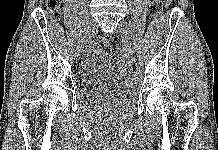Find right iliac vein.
Masks as SVG:
<instances>
[{
  "mask_svg": "<svg viewBox=\"0 0 218 150\" xmlns=\"http://www.w3.org/2000/svg\"><path fill=\"white\" fill-rule=\"evenodd\" d=\"M95 30H96V22L94 20H91L86 26L85 37L82 38V42H81L82 46L86 45L87 38H91L94 35Z\"/></svg>",
  "mask_w": 218,
  "mask_h": 150,
  "instance_id": "right-iliac-vein-1",
  "label": "right iliac vein"
}]
</instances>
